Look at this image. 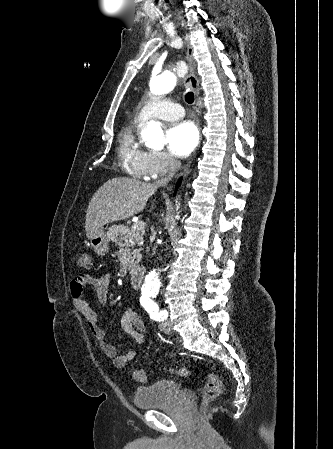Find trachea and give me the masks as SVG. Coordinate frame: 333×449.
I'll use <instances>...</instances> for the list:
<instances>
[{
    "label": "trachea",
    "mask_w": 333,
    "mask_h": 449,
    "mask_svg": "<svg viewBox=\"0 0 333 449\" xmlns=\"http://www.w3.org/2000/svg\"><path fill=\"white\" fill-rule=\"evenodd\" d=\"M185 100L187 103L191 104L194 101V95L192 92H187L185 95Z\"/></svg>",
    "instance_id": "3493384b"
}]
</instances>
